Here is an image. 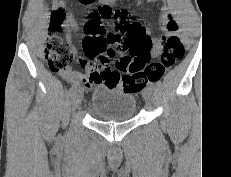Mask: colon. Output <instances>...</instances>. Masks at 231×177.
<instances>
[{
  "label": "colon",
  "mask_w": 231,
  "mask_h": 177,
  "mask_svg": "<svg viewBox=\"0 0 231 177\" xmlns=\"http://www.w3.org/2000/svg\"><path fill=\"white\" fill-rule=\"evenodd\" d=\"M95 0H79L91 4ZM61 15L55 14L49 28L45 50L48 66L54 72L67 70L74 59L71 47L59 35ZM113 19L111 30L105 22ZM169 31L177 28L174 19L168 16ZM83 50L87 59L102 67V74L110 83L120 85L125 91L140 92L148 81L158 82L184 54L183 45L176 35L164 36V44L156 62H150L151 39L144 28L130 21L124 9L113 10L103 5L92 13V19L84 27ZM114 62L115 69L109 68ZM123 73V74H121Z\"/></svg>",
  "instance_id": "5ec220e1"
}]
</instances>
